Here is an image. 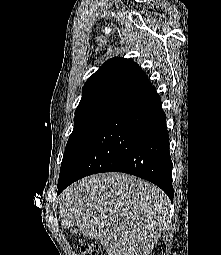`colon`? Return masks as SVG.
Listing matches in <instances>:
<instances>
[{
    "mask_svg": "<svg viewBox=\"0 0 221 255\" xmlns=\"http://www.w3.org/2000/svg\"><path fill=\"white\" fill-rule=\"evenodd\" d=\"M78 255H104L102 250L95 244L81 241L77 247Z\"/></svg>",
    "mask_w": 221,
    "mask_h": 255,
    "instance_id": "5ec220e1",
    "label": "colon"
}]
</instances>
